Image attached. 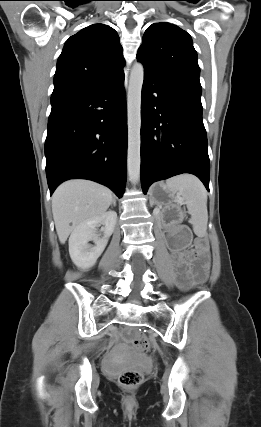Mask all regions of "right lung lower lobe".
Returning <instances> with one entry per match:
<instances>
[{
    "label": "right lung lower lobe",
    "mask_w": 261,
    "mask_h": 427,
    "mask_svg": "<svg viewBox=\"0 0 261 427\" xmlns=\"http://www.w3.org/2000/svg\"><path fill=\"white\" fill-rule=\"evenodd\" d=\"M126 154L124 76L52 104L45 141L50 195L63 181L83 178L122 197Z\"/></svg>",
    "instance_id": "1"
}]
</instances>
